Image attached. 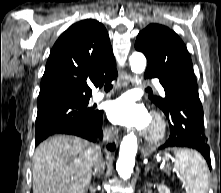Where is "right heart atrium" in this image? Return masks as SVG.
Segmentation results:
<instances>
[{
	"instance_id": "d8ad5b80",
	"label": "right heart atrium",
	"mask_w": 221,
	"mask_h": 193,
	"mask_svg": "<svg viewBox=\"0 0 221 193\" xmlns=\"http://www.w3.org/2000/svg\"><path fill=\"white\" fill-rule=\"evenodd\" d=\"M106 133L111 134V133H113V130L111 128H108V129H106Z\"/></svg>"
}]
</instances>
